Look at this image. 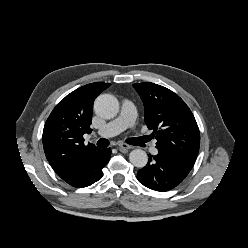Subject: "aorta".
<instances>
[{
    "label": "aorta",
    "instance_id": "aorta-1",
    "mask_svg": "<svg viewBox=\"0 0 248 248\" xmlns=\"http://www.w3.org/2000/svg\"><path fill=\"white\" fill-rule=\"evenodd\" d=\"M94 109L97 115L105 119H111L119 112V102L111 94H102L95 100ZM129 160L135 167L143 168L148 162V156L144 150L135 149L130 152Z\"/></svg>",
    "mask_w": 248,
    "mask_h": 248
}]
</instances>
